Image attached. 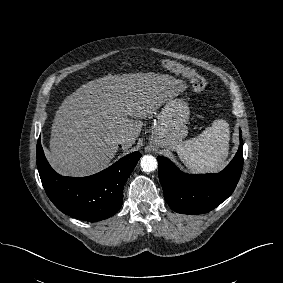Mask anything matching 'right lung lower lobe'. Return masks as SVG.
<instances>
[{
  "label": "right lung lower lobe",
  "instance_id": "obj_1",
  "mask_svg": "<svg viewBox=\"0 0 283 283\" xmlns=\"http://www.w3.org/2000/svg\"><path fill=\"white\" fill-rule=\"evenodd\" d=\"M140 157L136 151L95 175L63 177L46 160L40 138L37 142V167L49 199L63 213L85 221L109 218L120 209L124 184Z\"/></svg>",
  "mask_w": 283,
  "mask_h": 283
}]
</instances>
